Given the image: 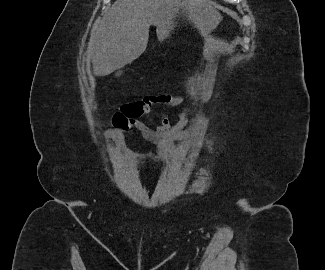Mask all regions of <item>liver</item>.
<instances>
[{"label": "liver", "instance_id": "liver-1", "mask_svg": "<svg viewBox=\"0 0 325 270\" xmlns=\"http://www.w3.org/2000/svg\"><path fill=\"white\" fill-rule=\"evenodd\" d=\"M179 15L203 35L223 19L206 0H116L91 32L87 54L94 74L106 76L137 59L147 47L150 25L157 27L160 42L168 38Z\"/></svg>", "mask_w": 325, "mask_h": 270}]
</instances>
